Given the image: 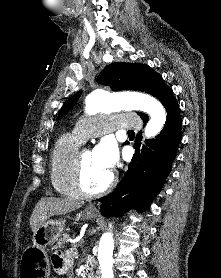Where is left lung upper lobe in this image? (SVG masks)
<instances>
[{"label": "left lung upper lobe", "mask_w": 221, "mask_h": 278, "mask_svg": "<svg viewBox=\"0 0 221 278\" xmlns=\"http://www.w3.org/2000/svg\"><path fill=\"white\" fill-rule=\"evenodd\" d=\"M99 83L110 86L113 91L138 90L150 93L167 108L175 100L173 91L168 87L161 75L143 64L116 62L106 66L96 79ZM80 93L69 98L62 106L58 119L62 118L79 99ZM141 119L148 118L138 112Z\"/></svg>", "instance_id": "left-lung-upper-lobe-1"}]
</instances>
